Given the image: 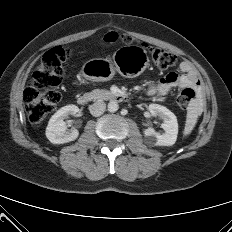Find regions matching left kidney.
<instances>
[{
  "instance_id": "left-kidney-1",
  "label": "left kidney",
  "mask_w": 232,
  "mask_h": 232,
  "mask_svg": "<svg viewBox=\"0 0 232 232\" xmlns=\"http://www.w3.org/2000/svg\"><path fill=\"white\" fill-rule=\"evenodd\" d=\"M149 111L152 116H159L163 123L161 127L164 133L156 132L153 128H147L143 131L146 141L152 146H172L177 139L178 122L177 118L169 109L159 104H150Z\"/></svg>"
}]
</instances>
